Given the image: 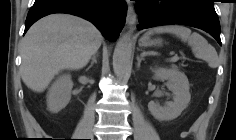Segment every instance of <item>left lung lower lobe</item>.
Here are the masks:
<instances>
[{
	"mask_svg": "<svg viewBox=\"0 0 236 140\" xmlns=\"http://www.w3.org/2000/svg\"><path fill=\"white\" fill-rule=\"evenodd\" d=\"M213 0H136L138 29L180 24L202 29L221 45Z\"/></svg>",
	"mask_w": 236,
	"mask_h": 140,
	"instance_id": "left-lung-lower-lobe-1",
	"label": "left lung lower lobe"
}]
</instances>
